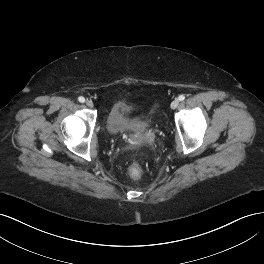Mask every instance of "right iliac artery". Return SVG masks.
<instances>
[{
  "mask_svg": "<svg viewBox=\"0 0 264 264\" xmlns=\"http://www.w3.org/2000/svg\"><path fill=\"white\" fill-rule=\"evenodd\" d=\"M78 100H79V102H81V103H84V102H85V98L82 97V96H80V97L78 98Z\"/></svg>",
  "mask_w": 264,
  "mask_h": 264,
  "instance_id": "right-iliac-artery-1",
  "label": "right iliac artery"
}]
</instances>
